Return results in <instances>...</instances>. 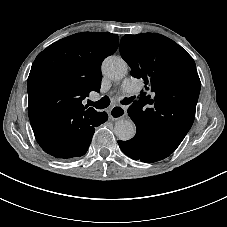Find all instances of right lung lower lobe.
<instances>
[{"label":"right lung lower lobe","instance_id":"obj_1","mask_svg":"<svg viewBox=\"0 0 227 227\" xmlns=\"http://www.w3.org/2000/svg\"><path fill=\"white\" fill-rule=\"evenodd\" d=\"M105 116L93 119L89 114H78L72 119L54 120L45 125L31 124L41 148L48 154L68 159L86 153L95 127L104 123Z\"/></svg>","mask_w":227,"mask_h":227}]
</instances>
